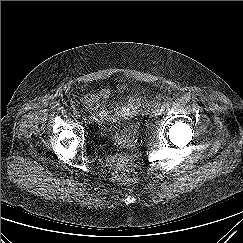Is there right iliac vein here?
I'll return each mask as SVG.
<instances>
[{
    "mask_svg": "<svg viewBox=\"0 0 243 243\" xmlns=\"http://www.w3.org/2000/svg\"><path fill=\"white\" fill-rule=\"evenodd\" d=\"M81 119L86 122V117L84 115L81 116Z\"/></svg>",
    "mask_w": 243,
    "mask_h": 243,
    "instance_id": "1",
    "label": "right iliac vein"
}]
</instances>
